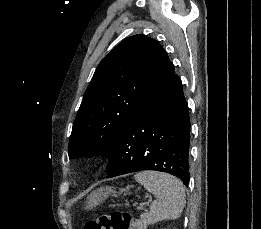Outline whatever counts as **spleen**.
<instances>
[{
  "label": "spleen",
  "instance_id": "spleen-1",
  "mask_svg": "<svg viewBox=\"0 0 261 229\" xmlns=\"http://www.w3.org/2000/svg\"><path fill=\"white\" fill-rule=\"evenodd\" d=\"M135 181L155 195L149 213L140 215L143 225H154L159 221L179 219L186 205L185 189L182 181L159 171H143L135 175Z\"/></svg>",
  "mask_w": 261,
  "mask_h": 229
}]
</instances>
